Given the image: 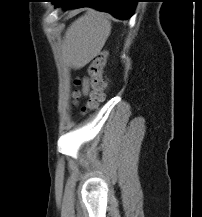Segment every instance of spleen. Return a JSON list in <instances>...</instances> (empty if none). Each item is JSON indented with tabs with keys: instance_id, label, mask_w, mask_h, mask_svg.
Segmentation results:
<instances>
[{
	"instance_id": "obj_1",
	"label": "spleen",
	"mask_w": 202,
	"mask_h": 217,
	"mask_svg": "<svg viewBox=\"0 0 202 217\" xmlns=\"http://www.w3.org/2000/svg\"><path fill=\"white\" fill-rule=\"evenodd\" d=\"M111 32V22L98 11L81 16L65 33L64 45L74 59L92 57L99 52Z\"/></svg>"
}]
</instances>
